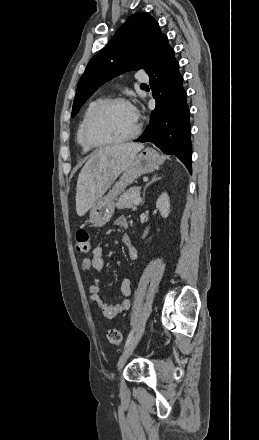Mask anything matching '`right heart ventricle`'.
I'll list each match as a JSON object with an SVG mask.
<instances>
[{
	"mask_svg": "<svg viewBox=\"0 0 259 440\" xmlns=\"http://www.w3.org/2000/svg\"><path fill=\"white\" fill-rule=\"evenodd\" d=\"M104 100L103 97H97L93 100H91L87 106L85 107L83 114L81 116V119L79 121V124L77 126V130H76V140L77 143L79 144V146L81 147V149L83 150V152H90L93 148L89 147L83 139V135H82V129H83V124L88 116V114L91 112V110L98 105L100 102H102Z\"/></svg>",
	"mask_w": 259,
	"mask_h": 440,
	"instance_id": "obj_1",
	"label": "right heart ventricle"
}]
</instances>
